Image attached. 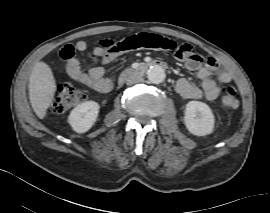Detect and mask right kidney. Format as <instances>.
Wrapping results in <instances>:
<instances>
[{"label":"right kidney","mask_w":270,"mask_h":213,"mask_svg":"<svg viewBox=\"0 0 270 213\" xmlns=\"http://www.w3.org/2000/svg\"><path fill=\"white\" fill-rule=\"evenodd\" d=\"M99 113V104L86 101L77 105L70 113L68 122L77 133L87 132L95 123Z\"/></svg>","instance_id":"right-kidney-1"}]
</instances>
